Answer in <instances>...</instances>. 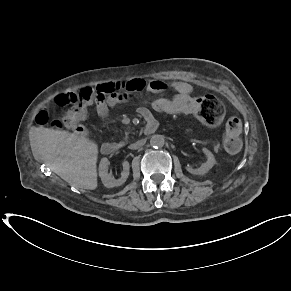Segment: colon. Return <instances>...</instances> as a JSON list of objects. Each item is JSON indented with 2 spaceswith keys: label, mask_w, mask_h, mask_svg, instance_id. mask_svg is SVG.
Returning <instances> with one entry per match:
<instances>
[{
  "label": "colon",
  "mask_w": 291,
  "mask_h": 291,
  "mask_svg": "<svg viewBox=\"0 0 291 291\" xmlns=\"http://www.w3.org/2000/svg\"><path fill=\"white\" fill-rule=\"evenodd\" d=\"M122 84L111 82L100 83L94 87H86L76 92H63L50 101L36 116L38 125H48L51 128L71 129L77 136L86 134V129L82 124V119L87 108L93 103H97L111 97L123 89ZM149 107H154L158 112H165L174 115L190 116L197 114L199 120L205 125L217 126L224 115L223 106L214 96H204L201 98H149ZM64 110L61 118L50 119V109ZM241 121L232 117L226 123L224 137L225 148L229 152H236L240 147Z\"/></svg>",
  "instance_id": "1"
}]
</instances>
